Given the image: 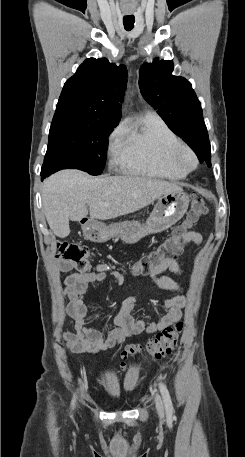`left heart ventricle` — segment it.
<instances>
[{
    "label": "left heart ventricle",
    "instance_id": "obj_1",
    "mask_svg": "<svg viewBox=\"0 0 245 457\" xmlns=\"http://www.w3.org/2000/svg\"><path fill=\"white\" fill-rule=\"evenodd\" d=\"M182 160H183L185 163H187V164L189 163V160H188V158H187V157H185V156H183V157H182Z\"/></svg>",
    "mask_w": 245,
    "mask_h": 457
}]
</instances>
